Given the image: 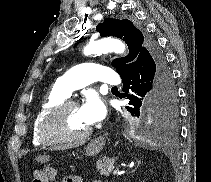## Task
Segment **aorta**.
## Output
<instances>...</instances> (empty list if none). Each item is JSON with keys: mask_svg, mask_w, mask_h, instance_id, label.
<instances>
[{"mask_svg": "<svg viewBox=\"0 0 211 182\" xmlns=\"http://www.w3.org/2000/svg\"><path fill=\"white\" fill-rule=\"evenodd\" d=\"M126 47L125 44L114 38H102L96 41L90 42L83 50L84 55H95L101 53L115 52L118 54L124 53ZM148 123H152V119L148 117Z\"/></svg>", "mask_w": 211, "mask_h": 182, "instance_id": "762f6f07", "label": "aorta"}]
</instances>
